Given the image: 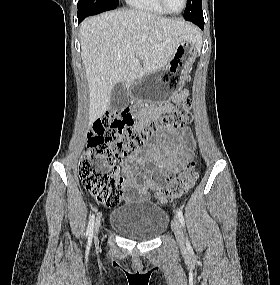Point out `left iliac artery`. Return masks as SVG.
I'll list each match as a JSON object with an SVG mask.
<instances>
[{
	"mask_svg": "<svg viewBox=\"0 0 280 285\" xmlns=\"http://www.w3.org/2000/svg\"><path fill=\"white\" fill-rule=\"evenodd\" d=\"M177 215H178V217H179V220H180L182 226H184V225H185V220H184L183 212H182L181 209H178V210H177ZM186 245H187L188 249L190 250V249H191V246H190V243H189V241H188V238H186Z\"/></svg>",
	"mask_w": 280,
	"mask_h": 285,
	"instance_id": "1",
	"label": "left iliac artery"
}]
</instances>
